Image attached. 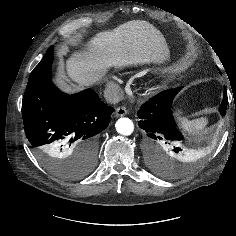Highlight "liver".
Here are the masks:
<instances>
[{
    "mask_svg": "<svg viewBox=\"0 0 236 236\" xmlns=\"http://www.w3.org/2000/svg\"><path fill=\"white\" fill-rule=\"evenodd\" d=\"M88 45L89 52H74L66 61L67 77L81 87L98 81L109 67L162 63L169 54L162 34L140 20L99 32Z\"/></svg>",
    "mask_w": 236,
    "mask_h": 236,
    "instance_id": "1",
    "label": "liver"
}]
</instances>
